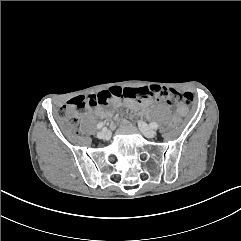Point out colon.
<instances>
[{
  "label": "colon",
  "mask_w": 241,
  "mask_h": 241,
  "mask_svg": "<svg viewBox=\"0 0 241 241\" xmlns=\"http://www.w3.org/2000/svg\"><path fill=\"white\" fill-rule=\"evenodd\" d=\"M119 97L131 99L156 98L169 103H179L184 108L190 106L193 102V96L190 93H180L174 89L158 85L136 88L113 87L97 95H81L72 98L60 108L59 117L65 126L75 128L78 124L79 115L82 110L97 105L107 104L112 98ZM167 125L171 127L180 126L181 120L170 119L167 122Z\"/></svg>",
  "instance_id": "obj_1"
}]
</instances>
